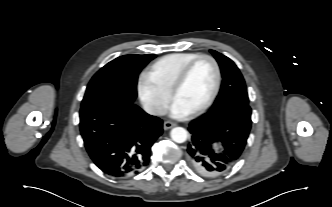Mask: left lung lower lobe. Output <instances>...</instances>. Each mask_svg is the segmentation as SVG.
I'll list each match as a JSON object with an SVG mask.
<instances>
[{"instance_id": "obj_1", "label": "left lung lower lobe", "mask_w": 332, "mask_h": 207, "mask_svg": "<svg viewBox=\"0 0 332 207\" xmlns=\"http://www.w3.org/2000/svg\"><path fill=\"white\" fill-rule=\"evenodd\" d=\"M251 124V108L242 103L221 106L192 121L187 147L191 167L208 177L225 173L242 155Z\"/></svg>"}]
</instances>
